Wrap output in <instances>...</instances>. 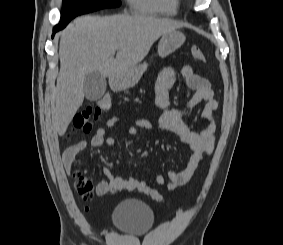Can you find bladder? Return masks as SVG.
I'll return each instance as SVG.
<instances>
[{"label":"bladder","mask_w":283,"mask_h":245,"mask_svg":"<svg viewBox=\"0 0 283 245\" xmlns=\"http://www.w3.org/2000/svg\"><path fill=\"white\" fill-rule=\"evenodd\" d=\"M117 230L132 235L146 233L154 224L153 210L144 202L128 199L117 204L112 213Z\"/></svg>","instance_id":"bladder-1"}]
</instances>
